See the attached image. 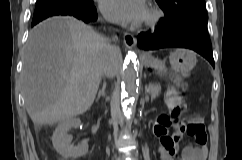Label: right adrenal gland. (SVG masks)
Returning a JSON list of instances; mask_svg holds the SVG:
<instances>
[{"instance_id": "2a0ac1e0", "label": "right adrenal gland", "mask_w": 242, "mask_h": 160, "mask_svg": "<svg viewBox=\"0 0 242 160\" xmlns=\"http://www.w3.org/2000/svg\"><path fill=\"white\" fill-rule=\"evenodd\" d=\"M106 83L104 82L102 88L98 91L96 100L100 99L101 96L105 97Z\"/></svg>"}]
</instances>
